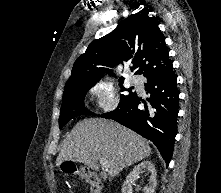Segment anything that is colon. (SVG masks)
I'll return each mask as SVG.
<instances>
[{
  "mask_svg": "<svg viewBox=\"0 0 221 193\" xmlns=\"http://www.w3.org/2000/svg\"><path fill=\"white\" fill-rule=\"evenodd\" d=\"M66 173H73L76 170L74 165H66L64 168ZM87 180L91 184V193H100L101 192V182L92 175H86Z\"/></svg>",
  "mask_w": 221,
  "mask_h": 193,
  "instance_id": "5ec220e1",
  "label": "colon"
}]
</instances>
